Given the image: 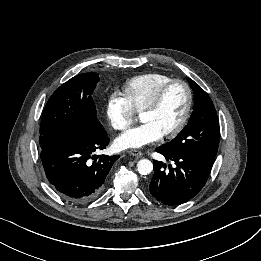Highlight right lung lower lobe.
Segmentation results:
<instances>
[{
    "instance_id": "obj_1",
    "label": "right lung lower lobe",
    "mask_w": 261,
    "mask_h": 261,
    "mask_svg": "<svg viewBox=\"0 0 261 261\" xmlns=\"http://www.w3.org/2000/svg\"><path fill=\"white\" fill-rule=\"evenodd\" d=\"M108 144L105 131L70 137L42 149L46 176L62 198L70 202H86L99 193L113 163L120 157L101 155L94 160L93 153L105 149Z\"/></svg>"
}]
</instances>
